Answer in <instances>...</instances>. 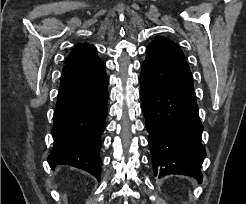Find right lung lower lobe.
I'll list each match as a JSON object with an SVG mask.
<instances>
[{"label":"right lung lower lobe","mask_w":246,"mask_h":204,"mask_svg":"<svg viewBox=\"0 0 246 204\" xmlns=\"http://www.w3.org/2000/svg\"><path fill=\"white\" fill-rule=\"evenodd\" d=\"M107 85L103 62L65 65L54 111V146L48 156L51 168L70 165L100 180V135L107 115Z\"/></svg>","instance_id":"98d812e1"}]
</instances>
